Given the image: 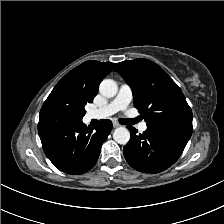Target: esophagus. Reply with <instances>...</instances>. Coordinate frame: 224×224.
I'll list each match as a JSON object with an SVG mask.
<instances>
[{
	"label": "esophagus",
	"mask_w": 224,
	"mask_h": 224,
	"mask_svg": "<svg viewBox=\"0 0 224 224\" xmlns=\"http://www.w3.org/2000/svg\"><path fill=\"white\" fill-rule=\"evenodd\" d=\"M120 126V124L117 122V121H113V127L114 128H117V127H119Z\"/></svg>",
	"instance_id": "obj_1"
}]
</instances>
